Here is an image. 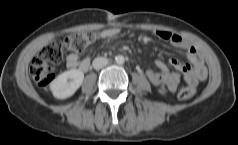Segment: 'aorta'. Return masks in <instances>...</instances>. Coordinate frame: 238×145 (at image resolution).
<instances>
[{"label": "aorta", "instance_id": "1", "mask_svg": "<svg viewBox=\"0 0 238 145\" xmlns=\"http://www.w3.org/2000/svg\"><path fill=\"white\" fill-rule=\"evenodd\" d=\"M115 62H116L118 65L124 64V62H125L124 56H122V55L116 56V57H115Z\"/></svg>", "mask_w": 238, "mask_h": 145}]
</instances>
